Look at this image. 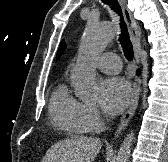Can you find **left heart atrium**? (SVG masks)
I'll list each match as a JSON object with an SVG mask.
<instances>
[{
    "label": "left heart atrium",
    "mask_w": 168,
    "mask_h": 162,
    "mask_svg": "<svg viewBox=\"0 0 168 162\" xmlns=\"http://www.w3.org/2000/svg\"><path fill=\"white\" fill-rule=\"evenodd\" d=\"M132 96L131 88L126 80L110 77L102 81L100 86V105L110 115L121 113Z\"/></svg>",
    "instance_id": "1"
}]
</instances>
